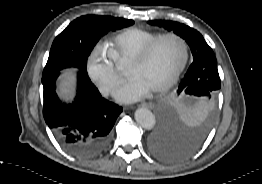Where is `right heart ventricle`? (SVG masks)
<instances>
[{
	"label": "right heart ventricle",
	"mask_w": 262,
	"mask_h": 184,
	"mask_svg": "<svg viewBox=\"0 0 262 184\" xmlns=\"http://www.w3.org/2000/svg\"><path fill=\"white\" fill-rule=\"evenodd\" d=\"M161 34L141 28H128L111 40L110 54L119 63H129L147 44Z\"/></svg>",
	"instance_id": "1"
}]
</instances>
